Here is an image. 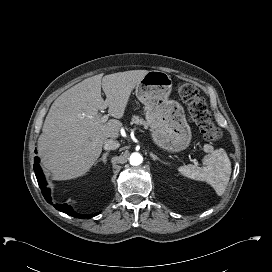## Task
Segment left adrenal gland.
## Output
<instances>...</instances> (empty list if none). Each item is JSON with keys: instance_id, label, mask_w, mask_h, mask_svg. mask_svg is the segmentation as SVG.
Here are the masks:
<instances>
[{"instance_id": "1", "label": "left adrenal gland", "mask_w": 272, "mask_h": 272, "mask_svg": "<svg viewBox=\"0 0 272 272\" xmlns=\"http://www.w3.org/2000/svg\"><path fill=\"white\" fill-rule=\"evenodd\" d=\"M149 154H150V156L152 157L153 161H159V162H161V163H163V164H165V165H168V164H169L168 162H165V161L161 160V159H160L159 157H157V155H155L153 152H150Z\"/></svg>"}]
</instances>
